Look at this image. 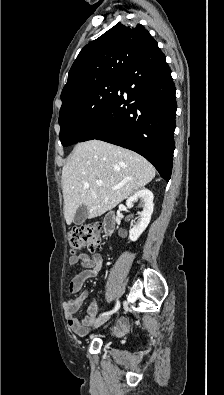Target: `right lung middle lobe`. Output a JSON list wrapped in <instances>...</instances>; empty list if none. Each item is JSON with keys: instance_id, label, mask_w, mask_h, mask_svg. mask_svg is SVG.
Instances as JSON below:
<instances>
[{"instance_id": "1", "label": "right lung middle lobe", "mask_w": 224, "mask_h": 395, "mask_svg": "<svg viewBox=\"0 0 224 395\" xmlns=\"http://www.w3.org/2000/svg\"><path fill=\"white\" fill-rule=\"evenodd\" d=\"M122 78H112L87 86L62 99L59 115L63 146L79 142L95 119L116 95Z\"/></svg>"}]
</instances>
